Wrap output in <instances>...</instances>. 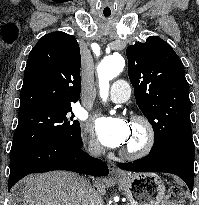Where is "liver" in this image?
Segmentation results:
<instances>
[{"label": "liver", "instance_id": "6515ba94", "mask_svg": "<svg viewBox=\"0 0 199 205\" xmlns=\"http://www.w3.org/2000/svg\"><path fill=\"white\" fill-rule=\"evenodd\" d=\"M25 182L21 197L17 198L20 205H89L84 189L87 181L72 172L30 175ZM96 187L100 196L106 193L103 180L97 181Z\"/></svg>", "mask_w": 199, "mask_h": 205}]
</instances>
